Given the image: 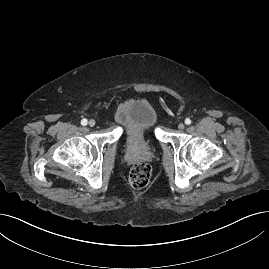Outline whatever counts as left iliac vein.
<instances>
[{"label":"left iliac vein","instance_id":"left-iliac-vein-1","mask_svg":"<svg viewBox=\"0 0 269 269\" xmlns=\"http://www.w3.org/2000/svg\"><path fill=\"white\" fill-rule=\"evenodd\" d=\"M178 128H179L180 130H183V129L185 128V124H183V123H179V124H178Z\"/></svg>","mask_w":269,"mask_h":269}]
</instances>
